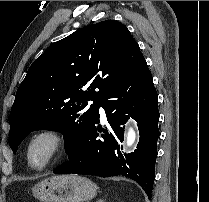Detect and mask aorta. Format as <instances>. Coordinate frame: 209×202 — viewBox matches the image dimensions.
<instances>
[{
    "instance_id": "762f6f07",
    "label": "aorta",
    "mask_w": 209,
    "mask_h": 202,
    "mask_svg": "<svg viewBox=\"0 0 209 202\" xmlns=\"http://www.w3.org/2000/svg\"><path fill=\"white\" fill-rule=\"evenodd\" d=\"M135 138H136V134H135L134 130L133 129H129V131H128L127 135H126L127 145L131 146L134 143Z\"/></svg>"
}]
</instances>
